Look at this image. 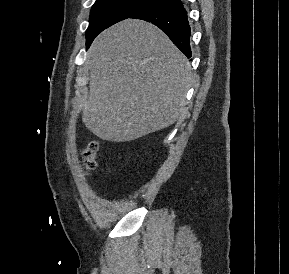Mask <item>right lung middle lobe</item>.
Wrapping results in <instances>:
<instances>
[{
    "mask_svg": "<svg viewBox=\"0 0 289 274\" xmlns=\"http://www.w3.org/2000/svg\"><path fill=\"white\" fill-rule=\"evenodd\" d=\"M162 1L96 0L92 6L89 26L86 30V47L88 48L94 38L104 29Z\"/></svg>",
    "mask_w": 289,
    "mask_h": 274,
    "instance_id": "dd1d6c3e",
    "label": "right lung middle lobe"
}]
</instances>
